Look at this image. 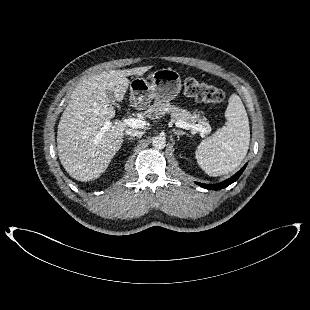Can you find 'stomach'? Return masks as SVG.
<instances>
[{
  "label": "stomach",
  "instance_id": "1",
  "mask_svg": "<svg viewBox=\"0 0 310 310\" xmlns=\"http://www.w3.org/2000/svg\"><path fill=\"white\" fill-rule=\"evenodd\" d=\"M150 79L149 82L143 77H135L130 82L131 98L138 108H146L151 99L169 102L180 93V74L171 68L155 70Z\"/></svg>",
  "mask_w": 310,
  "mask_h": 310
}]
</instances>
